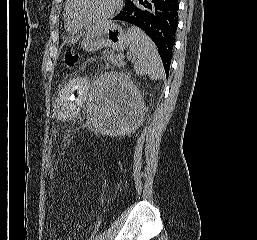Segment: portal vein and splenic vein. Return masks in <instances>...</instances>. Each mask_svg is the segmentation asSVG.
Listing matches in <instances>:
<instances>
[{"label":"portal vein and splenic vein","mask_w":257,"mask_h":240,"mask_svg":"<svg viewBox=\"0 0 257 240\" xmlns=\"http://www.w3.org/2000/svg\"><path fill=\"white\" fill-rule=\"evenodd\" d=\"M118 59L122 61L121 65H123V66H124V65H125V63L123 62V60H124V56H120Z\"/></svg>","instance_id":"obj_1"}]
</instances>
